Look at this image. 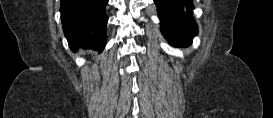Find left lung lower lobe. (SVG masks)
<instances>
[{
	"instance_id": "1",
	"label": "left lung lower lobe",
	"mask_w": 273,
	"mask_h": 118,
	"mask_svg": "<svg viewBox=\"0 0 273 118\" xmlns=\"http://www.w3.org/2000/svg\"><path fill=\"white\" fill-rule=\"evenodd\" d=\"M160 19L161 31L175 46L189 45L197 34L192 17V0H154Z\"/></svg>"
}]
</instances>
